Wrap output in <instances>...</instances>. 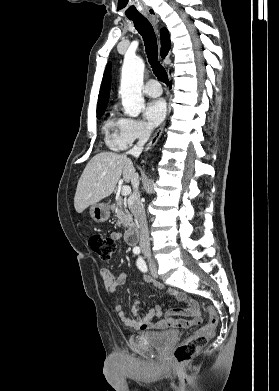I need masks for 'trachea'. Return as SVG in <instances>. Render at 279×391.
I'll use <instances>...</instances> for the list:
<instances>
[{"mask_svg":"<svg viewBox=\"0 0 279 391\" xmlns=\"http://www.w3.org/2000/svg\"><path fill=\"white\" fill-rule=\"evenodd\" d=\"M134 22L136 30L140 33L146 47L148 61L159 81L168 84V75L165 68L158 60L157 38L151 23L144 17L130 18Z\"/></svg>","mask_w":279,"mask_h":391,"instance_id":"1","label":"trachea"}]
</instances>
